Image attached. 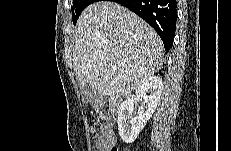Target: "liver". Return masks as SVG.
I'll return each mask as SVG.
<instances>
[{
	"mask_svg": "<svg viewBox=\"0 0 231 151\" xmlns=\"http://www.w3.org/2000/svg\"><path fill=\"white\" fill-rule=\"evenodd\" d=\"M163 43L144 20L112 1L90 4L76 24L73 64L86 83L106 96L130 93L163 64Z\"/></svg>",
	"mask_w": 231,
	"mask_h": 151,
	"instance_id": "obj_1",
	"label": "liver"
}]
</instances>
